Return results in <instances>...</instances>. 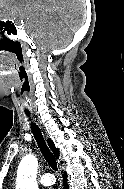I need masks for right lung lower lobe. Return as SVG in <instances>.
I'll list each match as a JSON object with an SVG mask.
<instances>
[{
  "mask_svg": "<svg viewBox=\"0 0 124 189\" xmlns=\"http://www.w3.org/2000/svg\"><path fill=\"white\" fill-rule=\"evenodd\" d=\"M63 181H64V189H68L66 173H64V175H63Z\"/></svg>",
  "mask_w": 124,
  "mask_h": 189,
  "instance_id": "98d812e1",
  "label": "right lung lower lobe"
}]
</instances>
